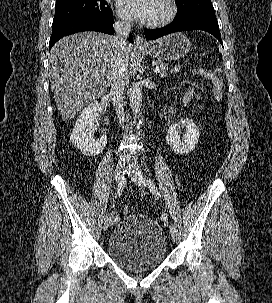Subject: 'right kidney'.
Listing matches in <instances>:
<instances>
[{
    "label": "right kidney",
    "mask_w": 272,
    "mask_h": 303,
    "mask_svg": "<svg viewBox=\"0 0 272 303\" xmlns=\"http://www.w3.org/2000/svg\"><path fill=\"white\" fill-rule=\"evenodd\" d=\"M100 113V104L97 101L90 103L79 115L72 130L70 141L86 156L100 154L106 144L107 136L104 134L99 139H94V123Z\"/></svg>",
    "instance_id": "1"
}]
</instances>
